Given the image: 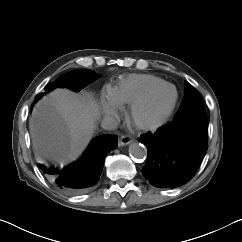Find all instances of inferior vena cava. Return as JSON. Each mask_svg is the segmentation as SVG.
Returning a JSON list of instances; mask_svg holds the SVG:
<instances>
[{
	"label": "inferior vena cava",
	"instance_id": "obj_1",
	"mask_svg": "<svg viewBox=\"0 0 242 242\" xmlns=\"http://www.w3.org/2000/svg\"><path fill=\"white\" fill-rule=\"evenodd\" d=\"M118 126V122L115 118L111 117V116H105L103 119H102V122H101V127L103 129H106V130H114L116 129Z\"/></svg>",
	"mask_w": 242,
	"mask_h": 242
}]
</instances>
